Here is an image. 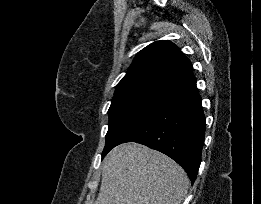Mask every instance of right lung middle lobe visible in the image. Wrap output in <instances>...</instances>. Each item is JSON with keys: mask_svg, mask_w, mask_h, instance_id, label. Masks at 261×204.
Returning <instances> with one entry per match:
<instances>
[{"mask_svg": "<svg viewBox=\"0 0 261 204\" xmlns=\"http://www.w3.org/2000/svg\"><path fill=\"white\" fill-rule=\"evenodd\" d=\"M166 96L167 93L154 91L114 95L108 110L109 128L102 156L113 147L123 134L160 104Z\"/></svg>", "mask_w": 261, "mask_h": 204, "instance_id": "1", "label": "right lung middle lobe"}]
</instances>
